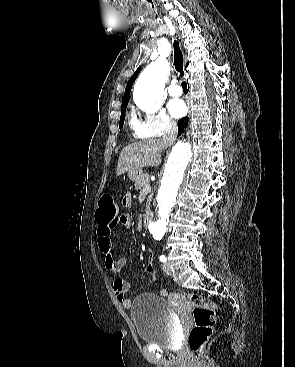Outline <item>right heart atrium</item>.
Masks as SVG:
<instances>
[{
    "mask_svg": "<svg viewBox=\"0 0 295 367\" xmlns=\"http://www.w3.org/2000/svg\"><path fill=\"white\" fill-rule=\"evenodd\" d=\"M134 134L139 138H153L171 134L176 130L175 122L160 107L143 114L134 115L131 121Z\"/></svg>",
    "mask_w": 295,
    "mask_h": 367,
    "instance_id": "obj_1",
    "label": "right heart atrium"
}]
</instances>
